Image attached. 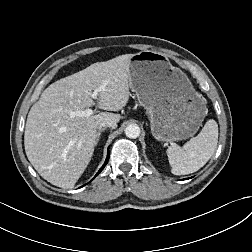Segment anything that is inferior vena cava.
<instances>
[{
    "instance_id": "inferior-vena-cava-1",
    "label": "inferior vena cava",
    "mask_w": 252,
    "mask_h": 252,
    "mask_svg": "<svg viewBox=\"0 0 252 252\" xmlns=\"http://www.w3.org/2000/svg\"><path fill=\"white\" fill-rule=\"evenodd\" d=\"M117 124L110 121H103L98 125V129H102L103 127L116 128Z\"/></svg>"
}]
</instances>
